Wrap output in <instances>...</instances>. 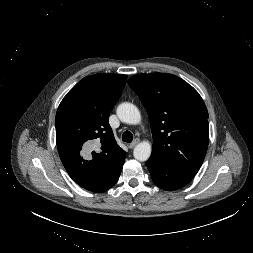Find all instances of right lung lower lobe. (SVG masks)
Returning a JSON list of instances; mask_svg holds the SVG:
<instances>
[{
  "mask_svg": "<svg viewBox=\"0 0 253 253\" xmlns=\"http://www.w3.org/2000/svg\"><path fill=\"white\" fill-rule=\"evenodd\" d=\"M123 167V166H122ZM122 167L118 170V172L113 176V178L110 180L109 183H107L104 187H102L98 192H103L106 191L108 189H110L111 187H113L115 185V183L117 182V180L119 179Z\"/></svg>",
  "mask_w": 253,
  "mask_h": 253,
  "instance_id": "1",
  "label": "right lung lower lobe"
}]
</instances>
